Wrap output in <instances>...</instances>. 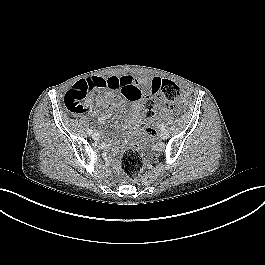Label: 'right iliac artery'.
Returning <instances> with one entry per match:
<instances>
[{"label":"right iliac artery","instance_id":"82829eb1","mask_svg":"<svg viewBox=\"0 0 265 265\" xmlns=\"http://www.w3.org/2000/svg\"><path fill=\"white\" fill-rule=\"evenodd\" d=\"M87 133H88V135L90 136V135L93 133V130H92V129H88V130H87Z\"/></svg>","mask_w":265,"mask_h":265}]
</instances>
